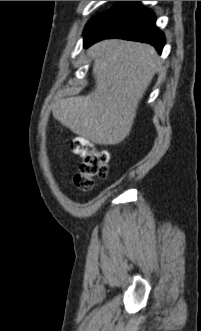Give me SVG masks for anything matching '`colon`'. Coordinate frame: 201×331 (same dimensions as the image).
I'll list each match as a JSON object with an SVG mask.
<instances>
[{"mask_svg": "<svg viewBox=\"0 0 201 331\" xmlns=\"http://www.w3.org/2000/svg\"><path fill=\"white\" fill-rule=\"evenodd\" d=\"M71 148L81 157L74 175V183L80 190H89L96 179L103 178L107 174L108 154L83 138L73 139Z\"/></svg>", "mask_w": 201, "mask_h": 331, "instance_id": "1", "label": "colon"}]
</instances>
